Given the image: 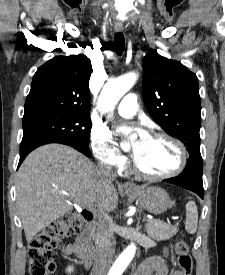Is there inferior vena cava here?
Instances as JSON below:
<instances>
[{
  "label": "inferior vena cava",
  "mask_w": 225,
  "mask_h": 275,
  "mask_svg": "<svg viewBox=\"0 0 225 275\" xmlns=\"http://www.w3.org/2000/svg\"><path fill=\"white\" fill-rule=\"evenodd\" d=\"M108 181H113L115 174L111 167L100 169ZM96 258L91 275H108V271L115 253V237L112 230V220L108 214L101 212L98 216V229L96 234Z\"/></svg>",
  "instance_id": "inferior-vena-cava-1"
}]
</instances>
